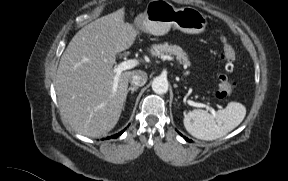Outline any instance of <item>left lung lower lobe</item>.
<instances>
[{
	"label": "left lung lower lobe",
	"mask_w": 288,
	"mask_h": 181,
	"mask_svg": "<svg viewBox=\"0 0 288 181\" xmlns=\"http://www.w3.org/2000/svg\"><path fill=\"white\" fill-rule=\"evenodd\" d=\"M181 136H183L180 132H178ZM186 141L192 142V140L188 139L187 137H184Z\"/></svg>",
	"instance_id": "1"
}]
</instances>
